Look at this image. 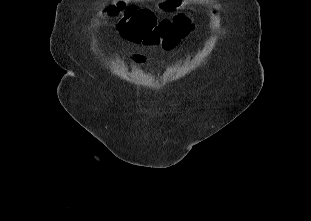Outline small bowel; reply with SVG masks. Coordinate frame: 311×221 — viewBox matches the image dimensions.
Wrapping results in <instances>:
<instances>
[{
    "instance_id": "1",
    "label": "small bowel",
    "mask_w": 311,
    "mask_h": 221,
    "mask_svg": "<svg viewBox=\"0 0 311 221\" xmlns=\"http://www.w3.org/2000/svg\"><path fill=\"white\" fill-rule=\"evenodd\" d=\"M133 59L138 63H143L145 61V57L142 54H135Z\"/></svg>"
}]
</instances>
